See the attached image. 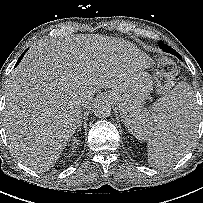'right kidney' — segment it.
Listing matches in <instances>:
<instances>
[{
	"label": "right kidney",
	"mask_w": 203,
	"mask_h": 203,
	"mask_svg": "<svg viewBox=\"0 0 203 203\" xmlns=\"http://www.w3.org/2000/svg\"><path fill=\"white\" fill-rule=\"evenodd\" d=\"M78 142H79V140H77V139H74V140H73L72 149L75 148V145H78V144H79Z\"/></svg>",
	"instance_id": "ca27d5eb"
}]
</instances>
